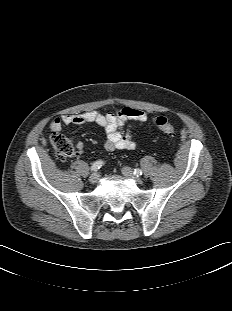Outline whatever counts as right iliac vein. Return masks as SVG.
Returning <instances> with one entry per match:
<instances>
[{
  "label": "right iliac vein",
  "instance_id": "obj_1",
  "mask_svg": "<svg viewBox=\"0 0 232 311\" xmlns=\"http://www.w3.org/2000/svg\"><path fill=\"white\" fill-rule=\"evenodd\" d=\"M98 180H99V175H98V173H92V174L90 175V177H89V182H90L91 184H96V183L98 182Z\"/></svg>",
  "mask_w": 232,
  "mask_h": 311
}]
</instances>
